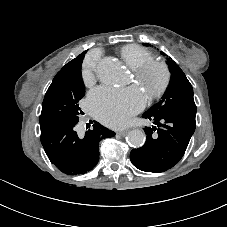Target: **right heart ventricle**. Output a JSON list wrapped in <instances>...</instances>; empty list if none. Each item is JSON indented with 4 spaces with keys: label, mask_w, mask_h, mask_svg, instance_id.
Returning <instances> with one entry per match:
<instances>
[{
    "label": "right heart ventricle",
    "mask_w": 227,
    "mask_h": 227,
    "mask_svg": "<svg viewBox=\"0 0 227 227\" xmlns=\"http://www.w3.org/2000/svg\"><path fill=\"white\" fill-rule=\"evenodd\" d=\"M118 53L127 66L135 70L142 64L153 60V54L140 45L127 44L119 48Z\"/></svg>",
    "instance_id": "1"
}]
</instances>
